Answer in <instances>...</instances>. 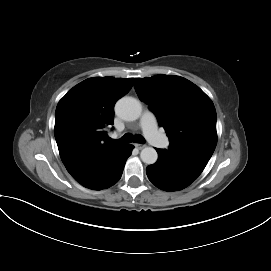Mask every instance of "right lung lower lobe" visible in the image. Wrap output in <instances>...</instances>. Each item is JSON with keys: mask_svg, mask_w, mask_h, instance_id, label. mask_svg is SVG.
<instances>
[{"mask_svg": "<svg viewBox=\"0 0 271 271\" xmlns=\"http://www.w3.org/2000/svg\"><path fill=\"white\" fill-rule=\"evenodd\" d=\"M133 148L132 145H124L95 176L80 184L92 190L106 189L114 185L121 178L124 165Z\"/></svg>", "mask_w": 271, "mask_h": 271, "instance_id": "1", "label": "right lung lower lobe"}]
</instances>
